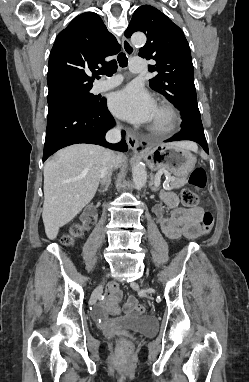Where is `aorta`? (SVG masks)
Masks as SVG:
<instances>
[{
    "label": "aorta",
    "mask_w": 249,
    "mask_h": 382,
    "mask_svg": "<svg viewBox=\"0 0 249 382\" xmlns=\"http://www.w3.org/2000/svg\"><path fill=\"white\" fill-rule=\"evenodd\" d=\"M131 41L135 45H144L146 43V36L142 33L132 35ZM133 183L136 189H141L145 186L147 181V172L141 163H136L132 167Z\"/></svg>",
    "instance_id": "1"
}]
</instances>
